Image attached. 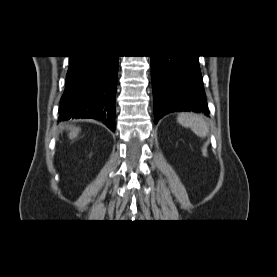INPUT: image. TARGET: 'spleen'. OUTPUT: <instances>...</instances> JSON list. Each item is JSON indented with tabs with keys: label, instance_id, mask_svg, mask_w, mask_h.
I'll return each mask as SVG.
<instances>
[{
	"label": "spleen",
	"instance_id": "obj_1",
	"mask_svg": "<svg viewBox=\"0 0 277 277\" xmlns=\"http://www.w3.org/2000/svg\"><path fill=\"white\" fill-rule=\"evenodd\" d=\"M177 121L182 126L190 128L197 136L205 137L208 134L207 124L199 115L182 113L178 115Z\"/></svg>",
	"mask_w": 277,
	"mask_h": 277
}]
</instances>
